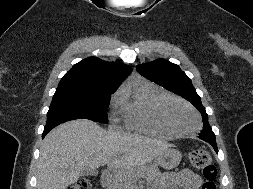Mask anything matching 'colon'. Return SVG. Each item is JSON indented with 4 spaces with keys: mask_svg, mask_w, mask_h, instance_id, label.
I'll return each mask as SVG.
<instances>
[{
    "mask_svg": "<svg viewBox=\"0 0 253 189\" xmlns=\"http://www.w3.org/2000/svg\"><path fill=\"white\" fill-rule=\"evenodd\" d=\"M189 161L205 178L201 189H216L217 168L212 163L210 155L202 149H195L189 154ZM67 189H92V184L90 179L81 178Z\"/></svg>",
    "mask_w": 253,
    "mask_h": 189,
    "instance_id": "5ec220e1",
    "label": "colon"
}]
</instances>
